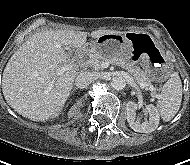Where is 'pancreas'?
<instances>
[{
    "label": "pancreas",
    "mask_w": 190,
    "mask_h": 165,
    "mask_svg": "<svg viewBox=\"0 0 190 165\" xmlns=\"http://www.w3.org/2000/svg\"><path fill=\"white\" fill-rule=\"evenodd\" d=\"M103 62H109L113 64H119L124 69L128 70V72L134 77L135 81L141 86V84H148L149 79L146 75V73L141 70L139 67L126 63L124 60H121L117 57H104L99 52L91 50L90 52V67L94 68L95 70H98L102 68Z\"/></svg>",
    "instance_id": "obj_1"
}]
</instances>
